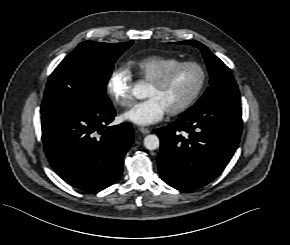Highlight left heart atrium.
I'll return each mask as SVG.
<instances>
[{
	"mask_svg": "<svg viewBox=\"0 0 290 245\" xmlns=\"http://www.w3.org/2000/svg\"><path fill=\"white\" fill-rule=\"evenodd\" d=\"M166 108L155 97H149L135 104L124 114V118L138 125H151L163 119Z\"/></svg>",
	"mask_w": 290,
	"mask_h": 245,
	"instance_id": "1",
	"label": "left heart atrium"
}]
</instances>
